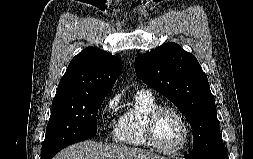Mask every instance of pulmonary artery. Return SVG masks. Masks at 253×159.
I'll use <instances>...</instances> for the list:
<instances>
[{
  "label": "pulmonary artery",
  "instance_id": "obj_1",
  "mask_svg": "<svg viewBox=\"0 0 253 159\" xmlns=\"http://www.w3.org/2000/svg\"><path fill=\"white\" fill-rule=\"evenodd\" d=\"M140 91L150 92V89H141Z\"/></svg>",
  "mask_w": 253,
  "mask_h": 159
}]
</instances>
